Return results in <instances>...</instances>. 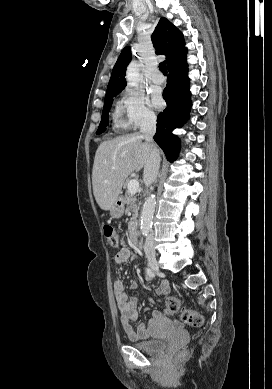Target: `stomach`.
I'll use <instances>...</instances> for the list:
<instances>
[{"label":"stomach","mask_w":272,"mask_h":389,"mask_svg":"<svg viewBox=\"0 0 272 389\" xmlns=\"http://www.w3.org/2000/svg\"><path fill=\"white\" fill-rule=\"evenodd\" d=\"M124 200L119 197L110 209V215L112 218H120L124 213Z\"/></svg>","instance_id":"1"}]
</instances>
